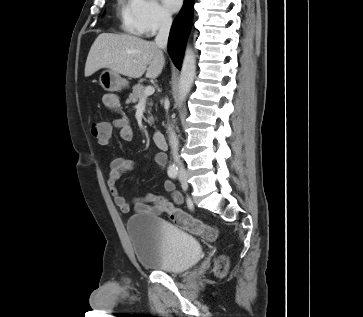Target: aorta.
I'll return each instance as SVG.
<instances>
[{
    "label": "aorta",
    "instance_id": "aorta-1",
    "mask_svg": "<svg viewBox=\"0 0 363 317\" xmlns=\"http://www.w3.org/2000/svg\"><path fill=\"white\" fill-rule=\"evenodd\" d=\"M196 73V55L192 48H186L180 78H179V99L184 100L189 94L194 82ZM172 169L173 166H170Z\"/></svg>",
    "mask_w": 363,
    "mask_h": 317
}]
</instances>
